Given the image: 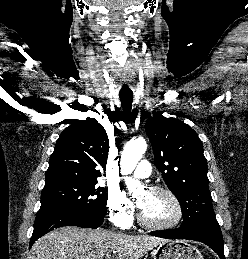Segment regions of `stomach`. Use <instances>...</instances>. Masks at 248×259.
<instances>
[{
    "label": "stomach",
    "mask_w": 248,
    "mask_h": 259,
    "mask_svg": "<svg viewBox=\"0 0 248 259\" xmlns=\"http://www.w3.org/2000/svg\"><path fill=\"white\" fill-rule=\"evenodd\" d=\"M153 259H204L200 251L184 241H167L153 250Z\"/></svg>",
    "instance_id": "1"
}]
</instances>
